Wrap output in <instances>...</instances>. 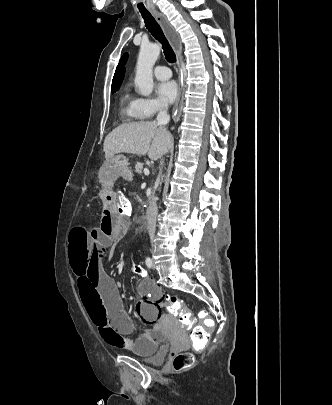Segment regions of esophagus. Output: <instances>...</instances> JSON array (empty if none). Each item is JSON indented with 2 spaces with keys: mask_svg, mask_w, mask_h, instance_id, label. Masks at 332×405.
<instances>
[{
  "mask_svg": "<svg viewBox=\"0 0 332 405\" xmlns=\"http://www.w3.org/2000/svg\"><path fill=\"white\" fill-rule=\"evenodd\" d=\"M155 18L157 22L160 24L161 28L163 29L166 37L170 41L171 45L175 49L179 63H181L182 60V46L180 43V39L174 28L171 26L167 18L165 17L164 14L158 12V11H153ZM184 82H183V76L181 73L180 79H179V93H178V98L177 101L174 105L173 108V121L176 123L179 121L181 113H182V108H183V91H184Z\"/></svg>",
  "mask_w": 332,
  "mask_h": 405,
  "instance_id": "1",
  "label": "esophagus"
}]
</instances>
